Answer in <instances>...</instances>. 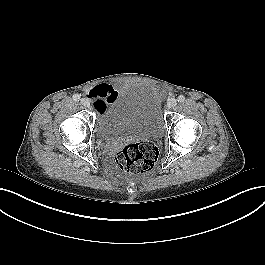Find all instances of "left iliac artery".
Listing matches in <instances>:
<instances>
[{
	"label": "left iliac artery",
	"instance_id": "obj_1",
	"mask_svg": "<svg viewBox=\"0 0 265 265\" xmlns=\"http://www.w3.org/2000/svg\"><path fill=\"white\" fill-rule=\"evenodd\" d=\"M178 102L182 103L185 100V97L183 95L178 96L177 98Z\"/></svg>",
	"mask_w": 265,
	"mask_h": 265
}]
</instances>
